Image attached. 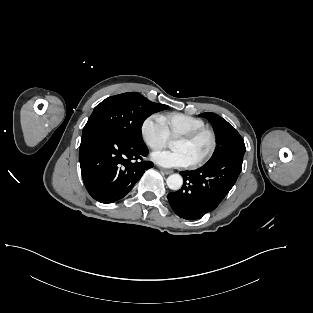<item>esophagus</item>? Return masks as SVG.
I'll use <instances>...</instances> for the list:
<instances>
[{"label":"esophagus","instance_id":"obj_1","mask_svg":"<svg viewBox=\"0 0 313 313\" xmlns=\"http://www.w3.org/2000/svg\"><path fill=\"white\" fill-rule=\"evenodd\" d=\"M160 171L166 175L171 174L173 172L172 170L163 169V168H160Z\"/></svg>","mask_w":313,"mask_h":313}]
</instances>
